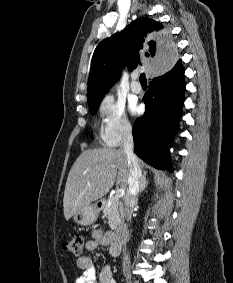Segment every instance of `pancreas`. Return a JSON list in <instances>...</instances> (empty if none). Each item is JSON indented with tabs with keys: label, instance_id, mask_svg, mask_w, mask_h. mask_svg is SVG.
I'll return each instance as SVG.
<instances>
[{
	"label": "pancreas",
	"instance_id": "1",
	"mask_svg": "<svg viewBox=\"0 0 233 283\" xmlns=\"http://www.w3.org/2000/svg\"><path fill=\"white\" fill-rule=\"evenodd\" d=\"M103 213L108 217V224L112 230H117L123 219L122 204L116 196L108 198Z\"/></svg>",
	"mask_w": 233,
	"mask_h": 283
}]
</instances>
